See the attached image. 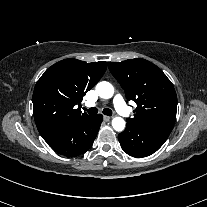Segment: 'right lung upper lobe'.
<instances>
[{"label":"right lung upper lobe","instance_id":"1","mask_svg":"<svg viewBox=\"0 0 207 207\" xmlns=\"http://www.w3.org/2000/svg\"><path fill=\"white\" fill-rule=\"evenodd\" d=\"M106 67V62L86 63L65 59L44 72L33 93L34 119L44 139L71 123L89 117L76 105L101 79Z\"/></svg>","mask_w":207,"mask_h":207}]
</instances>
